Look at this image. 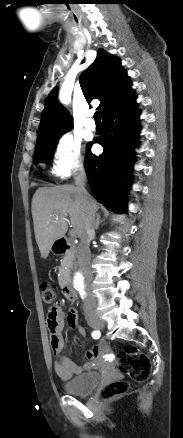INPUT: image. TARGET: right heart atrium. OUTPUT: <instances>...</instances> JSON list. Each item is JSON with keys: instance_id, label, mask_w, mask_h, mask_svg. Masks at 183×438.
I'll return each mask as SVG.
<instances>
[{"instance_id": "obj_1", "label": "right heart atrium", "mask_w": 183, "mask_h": 438, "mask_svg": "<svg viewBox=\"0 0 183 438\" xmlns=\"http://www.w3.org/2000/svg\"><path fill=\"white\" fill-rule=\"evenodd\" d=\"M82 145L72 133L62 134L54 148L52 174L67 177L83 169Z\"/></svg>"}]
</instances>
